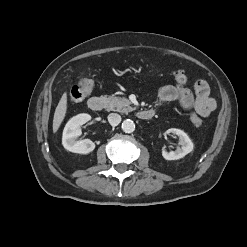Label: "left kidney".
Masks as SVG:
<instances>
[{"mask_svg":"<svg viewBox=\"0 0 247 247\" xmlns=\"http://www.w3.org/2000/svg\"><path fill=\"white\" fill-rule=\"evenodd\" d=\"M167 134L173 133L178 136L179 143L181 148H178L176 151H162V156L166 160H178L186 156L188 153L192 152L194 149V144L189 138V136L180 129L170 128L166 131Z\"/></svg>","mask_w":247,"mask_h":247,"instance_id":"obj_1","label":"left kidney"}]
</instances>
